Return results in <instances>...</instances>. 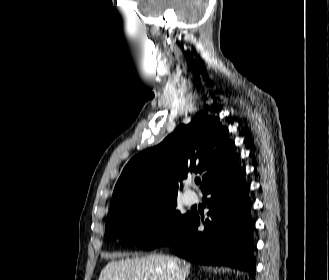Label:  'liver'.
Wrapping results in <instances>:
<instances>
[{"label": "liver", "instance_id": "obj_1", "mask_svg": "<svg viewBox=\"0 0 329 280\" xmlns=\"http://www.w3.org/2000/svg\"><path fill=\"white\" fill-rule=\"evenodd\" d=\"M170 261L179 268L185 280L190 273L189 263L179 258L155 254L111 261L101 271L98 280H177L175 268Z\"/></svg>", "mask_w": 329, "mask_h": 280}]
</instances>
